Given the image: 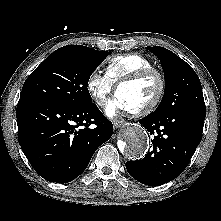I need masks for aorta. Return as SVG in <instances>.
Wrapping results in <instances>:
<instances>
[{
  "mask_svg": "<svg viewBox=\"0 0 221 221\" xmlns=\"http://www.w3.org/2000/svg\"><path fill=\"white\" fill-rule=\"evenodd\" d=\"M149 147L147 132L140 126H128L124 131V141L121 152L131 159L142 158Z\"/></svg>",
  "mask_w": 221,
  "mask_h": 221,
  "instance_id": "1",
  "label": "aorta"
}]
</instances>
